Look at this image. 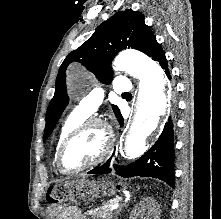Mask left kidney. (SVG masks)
<instances>
[{"mask_svg": "<svg viewBox=\"0 0 221 219\" xmlns=\"http://www.w3.org/2000/svg\"><path fill=\"white\" fill-rule=\"evenodd\" d=\"M159 215L160 211L157 202L153 198L147 197L137 204L130 218L137 219L141 217L142 219H159Z\"/></svg>", "mask_w": 221, "mask_h": 219, "instance_id": "1", "label": "left kidney"}]
</instances>
